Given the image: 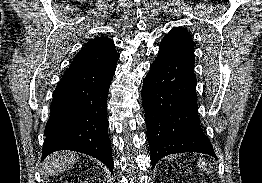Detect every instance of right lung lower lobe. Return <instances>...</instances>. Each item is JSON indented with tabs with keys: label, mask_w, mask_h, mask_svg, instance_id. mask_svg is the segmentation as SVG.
<instances>
[{
	"label": "right lung lower lobe",
	"mask_w": 262,
	"mask_h": 183,
	"mask_svg": "<svg viewBox=\"0 0 262 183\" xmlns=\"http://www.w3.org/2000/svg\"><path fill=\"white\" fill-rule=\"evenodd\" d=\"M115 70L116 64L66 70L53 92L41 160L57 150H73L99 159L112 172L106 111Z\"/></svg>",
	"instance_id": "obj_1"
}]
</instances>
